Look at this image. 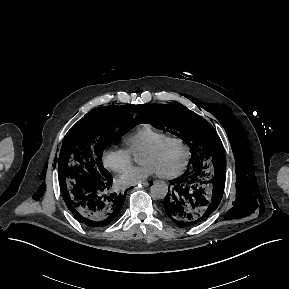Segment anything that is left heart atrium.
I'll return each mask as SVG.
<instances>
[{"label": "left heart atrium", "mask_w": 289, "mask_h": 289, "mask_svg": "<svg viewBox=\"0 0 289 289\" xmlns=\"http://www.w3.org/2000/svg\"><path fill=\"white\" fill-rule=\"evenodd\" d=\"M157 170L148 163H142L123 172L117 179L120 187L137 185L148 179L150 176L157 174Z\"/></svg>", "instance_id": "1"}]
</instances>
